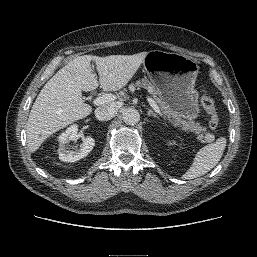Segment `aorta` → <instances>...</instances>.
<instances>
[{"mask_svg":"<svg viewBox=\"0 0 257 257\" xmlns=\"http://www.w3.org/2000/svg\"><path fill=\"white\" fill-rule=\"evenodd\" d=\"M123 121L127 125H135L140 121V114L138 110L134 108H127L123 111Z\"/></svg>","mask_w":257,"mask_h":257,"instance_id":"aorta-1","label":"aorta"}]
</instances>
